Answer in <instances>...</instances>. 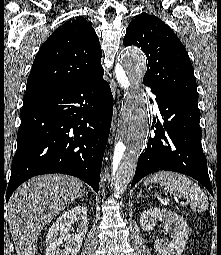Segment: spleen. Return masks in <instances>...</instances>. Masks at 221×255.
I'll use <instances>...</instances> for the list:
<instances>
[{"instance_id": "obj_1", "label": "spleen", "mask_w": 221, "mask_h": 255, "mask_svg": "<svg viewBox=\"0 0 221 255\" xmlns=\"http://www.w3.org/2000/svg\"><path fill=\"white\" fill-rule=\"evenodd\" d=\"M159 183L171 194L187 200L193 211L201 213L208 208V199L201 188L186 176L175 172H158L144 181L145 185Z\"/></svg>"}]
</instances>
